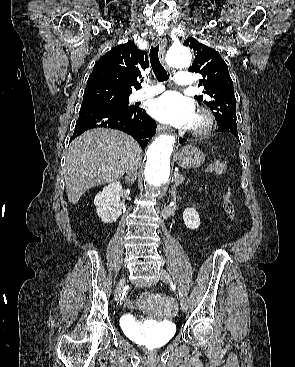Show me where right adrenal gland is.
<instances>
[{
	"instance_id": "1",
	"label": "right adrenal gland",
	"mask_w": 295,
	"mask_h": 367,
	"mask_svg": "<svg viewBox=\"0 0 295 367\" xmlns=\"http://www.w3.org/2000/svg\"><path fill=\"white\" fill-rule=\"evenodd\" d=\"M125 180H126L127 183L133 184L136 180V176H134V177L126 176Z\"/></svg>"
}]
</instances>
